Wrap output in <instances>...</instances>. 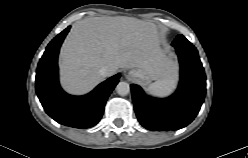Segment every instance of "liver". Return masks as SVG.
I'll return each instance as SVG.
<instances>
[{
	"instance_id": "obj_1",
	"label": "liver",
	"mask_w": 248,
	"mask_h": 158,
	"mask_svg": "<svg viewBox=\"0 0 248 158\" xmlns=\"http://www.w3.org/2000/svg\"><path fill=\"white\" fill-rule=\"evenodd\" d=\"M61 83L73 94H84L103 77L99 70L107 66L110 75L119 69L139 68L152 80L174 72L172 61L160 47L155 24L133 17H92L75 23L60 51Z\"/></svg>"
}]
</instances>
